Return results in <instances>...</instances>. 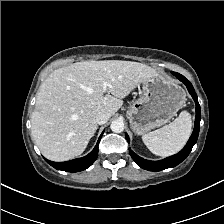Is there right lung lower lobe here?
Returning <instances> with one entry per match:
<instances>
[{
    "label": "right lung lower lobe",
    "mask_w": 224,
    "mask_h": 224,
    "mask_svg": "<svg viewBox=\"0 0 224 224\" xmlns=\"http://www.w3.org/2000/svg\"><path fill=\"white\" fill-rule=\"evenodd\" d=\"M102 135L99 137V140L91 153L82 158H77L71 161L66 162H53L45 159L51 166L57 170H63L67 172H78L87 169L90 167L93 162L97 159L98 156V145Z\"/></svg>",
    "instance_id": "right-lung-lower-lobe-1"
}]
</instances>
